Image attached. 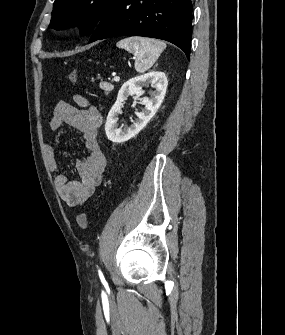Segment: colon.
Returning <instances> with one entry per match:
<instances>
[{
    "mask_svg": "<svg viewBox=\"0 0 285 335\" xmlns=\"http://www.w3.org/2000/svg\"><path fill=\"white\" fill-rule=\"evenodd\" d=\"M68 77H69V80L75 84L77 82V79H78V75H77V71L76 69H72L69 74H68ZM76 222L79 226V228L81 229H86L88 227V218H87V215L86 213L82 212V213H79L76 217Z\"/></svg>",
    "mask_w": 285,
    "mask_h": 335,
    "instance_id": "5ec220e1",
    "label": "colon"
}]
</instances>
